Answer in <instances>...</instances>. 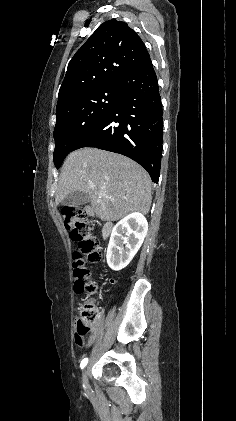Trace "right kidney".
Returning a JSON list of instances; mask_svg holds the SVG:
<instances>
[{"label": "right kidney", "mask_w": 236, "mask_h": 421, "mask_svg": "<svg viewBox=\"0 0 236 421\" xmlns=\"http://www.w3.org/2000/svg\"><path fill=\"white\" fill-rule=\"evenodd\" d=\"M147 231L148 223L141 213H131L115 225L106 255L107 263L112 271H121L129 265L139 251ZM124 233L127 237H123Z\"/></svg>", "instance_id": "obj_1"}]
</instances>
